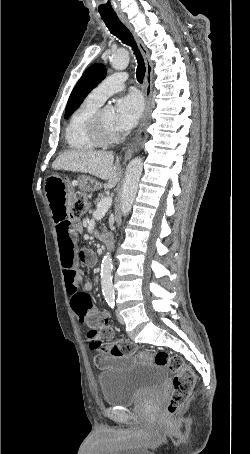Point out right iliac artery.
<instances>
[{
  "label": "right iliac artery",
  "mask_w": 250,
  "mask_h": 454,
  "mask_svg": "<svg viewBox=\"0 0 250 454\" xmlns=\"http://www.w3.org/2000/svg\"><path fill=\"white\" fill-rule=\"evenodd\" d=\"M106 302L108 303V305L113 309L114 306H115V301L113 298H110V299H107Z\"/></svg>",
  "instance_id": "1"
}]
</instances>
